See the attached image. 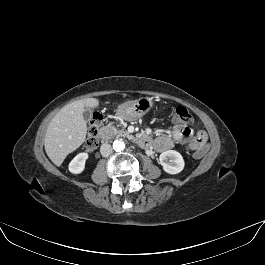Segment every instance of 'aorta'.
<instances>
[{
  "label": "aorta",
  "instance_id": "obj_1",
  "mask_svg": "<svg viewBox=\"0 0 265 265\" xmlns=\"http://www.w3.org/2000/svg\"><path fill=\"white\" fill-rule=\"evenodd\" d=\"M113 149L116 151V152H121L125 149V143L124 141H122L121 139L119 140H115L113 142Z\"/></svg>",
  "mask_w": 265,
  "mask_h": 265
}]
</instances>
